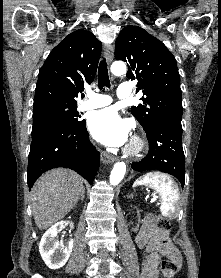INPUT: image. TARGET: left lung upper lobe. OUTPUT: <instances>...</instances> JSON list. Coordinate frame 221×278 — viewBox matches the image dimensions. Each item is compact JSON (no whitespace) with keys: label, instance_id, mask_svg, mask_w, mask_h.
Returning a JSON list of instances; mask_svg holds the SVG:
<instances>
[{"label":"left lung upper lobe","instance_id":"obj_1","mask_svg":"<svg viewBox=\"0 0 221 278\" xmlns=\"http://www.w3.org/2000/svg\"><path fill=\"white\" fill-rule=\"evenodd\" d=\"M115 58L128 64V79H137V91L143 92V104L132 106L131 113L145 132L162 121L181 124L180 76L167 47L143 28L130 25L120 31Z\"/></svg>","mask_w":221,"mask_h":278}]
</instances>
